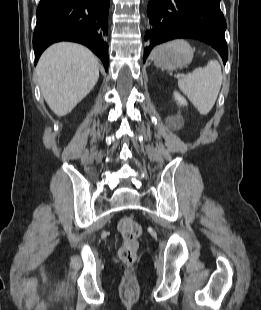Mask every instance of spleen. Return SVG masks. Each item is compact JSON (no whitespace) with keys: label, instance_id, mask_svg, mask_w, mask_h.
Listing matches in <instances>:
<instances>
[{"label":"spleen","instance_id":"spleen-1","mask_svg":"<svg viewBox=\"0 0 261 310\" xmlns=\"http://www.w3.org/2000/svg\"><path fill=\"white\" fill-rule=\"evenodd\" d=\"M222 85L220 64L210 60L203 68L178 80V87L191 101L201 115H207L213 108Z\"/></svg>","mask_w":261,"mask_h":310}]
</instances>
